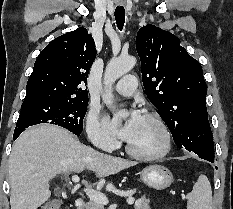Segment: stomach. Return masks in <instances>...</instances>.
I'll use <instances>...</instances> for the list:
<instances>
[{"label": "stomach", "instance_id": "stomach-1", "mask_svg": "<svg viewBox=\"0 0 233 209\" xmlns=\"http://www.w3.org/2000/svg\"><path fill=\"white\" fill-rule=\"evenodd\" d=\"M140 178L144 184L155 190H162L171 185L172 173L162 165H150L140 172Z\"/></svg>", "mask_w": 233, "mask_h": 209}]
</instances>
